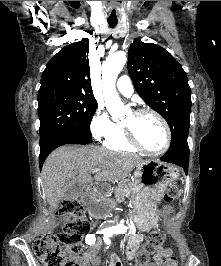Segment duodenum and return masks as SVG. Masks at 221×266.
Masks as SVG:
<instances>
[{"label":"duodenum","instance_id":"1","mask_svg":"<svg viewBox=\"0 0 221 266\" xmlns=\"http://www.w3.org/2000/svg\"><path fill=\"white\" fill-rule=\"evenodd\" d=\"M108 196H112V191L100 185H90L84 194L85 206H90L87 212L95 219H108V214L112 210L113 201Z\"/></svg>","mask_w":221,"mask_h":266}]
</instances>
